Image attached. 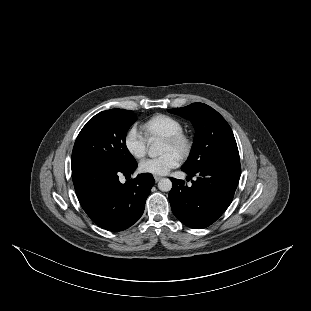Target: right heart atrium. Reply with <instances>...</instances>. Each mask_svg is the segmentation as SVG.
<instances>
[{
  "instance_id": "1",
  "label": "right heart atrium",
  "mask_w": 311,
  "mask_h": 311,
  "mask_svg": "<svg viewBox=\"0 0 311 311\" xmlns=\"http://www.w3.org/2000/svg\"><path fill=\"white\" fill-rule=\"evenodd\" d=\"M123 145L127 153L136 160L143 159L147 154L148 144L146 136L136 125L130 126L125 132Z\"/></svg>"
}]
</instances>
